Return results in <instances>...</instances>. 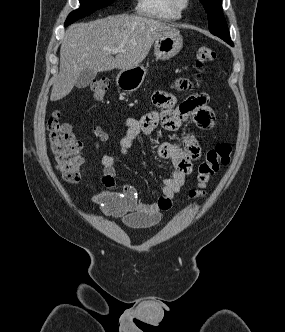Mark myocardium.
Returning <instances> with one entry per match:
<instances>
[{"label":"myocardium","mask_w":285,"mask_h":332,"mask_svg":"<svg viewBox=\"0 0 285 332\" xmlns=\"http://www.w3.org/2000/svg\"><path fill=\"white\" fill-rule=\"evenodd\" d=\"M172 8L179 12L183 13L190 5V0H169Z\"/></svg>","instance_id":"myocardium-1"}]
</instances>
